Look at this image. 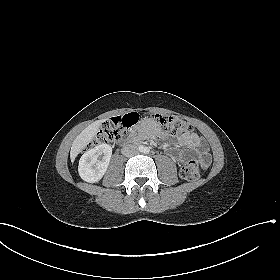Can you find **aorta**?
I'll list each match as a JSON object with an SVG mask.
<instances>
[{"label": "aorta", "mask_w": 280, "mask_h": 280, "mask_svg": "<svg viewBox=\"0 0 280 280\" xmlns=\"http://www.w3.org/2000/svg\"><path fill=\"white\" fill-rule=\"evenodd\" d=\"M142 152L146 153V148H143V149H142Z\"/></svg>", "instance_id": "obj_1"}]
</instances>
